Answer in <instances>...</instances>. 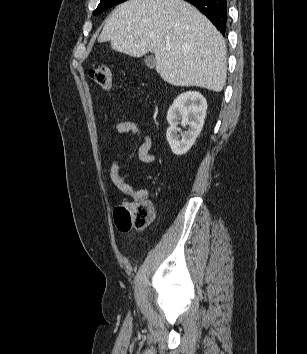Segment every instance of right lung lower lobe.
<instances>
[{"mask_svg":"<svg viewBox=\"0 0 307 354\" xmlns=\"http://www.w3.org/2000/svg\"><path fill=\"white\" fill-rule=\"evenodd\" d=\"M198 8L225 35L227 28V0H185Z\"/></svg>","mask_w":307,"mask_h":354,"instance_id":"1","label":"right lung lower lobe"}]
</instances>
